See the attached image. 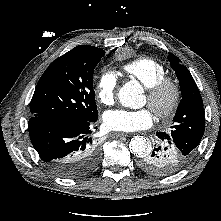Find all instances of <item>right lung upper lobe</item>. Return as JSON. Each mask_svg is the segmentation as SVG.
I'll use <instances>...</instances> for the list:
<instances>
[{
    "label": "right lung upper lobe",
    "mask_w": 221,
    "mask_h": 221,
    "mask_svg": "<svg viewBox=\"0 0 221 221\" xmlns=\"http://www.w3.org/2000/svg\"><path fill=\"white\" fill-rule=\"evenodd\" d=\"M96 47H93V46H88V45H80V46H77L75 47L74 49L72 50H82V49H95Z\"/></svg>",
    "instance_id": "obj_1"
}]
</instances>
